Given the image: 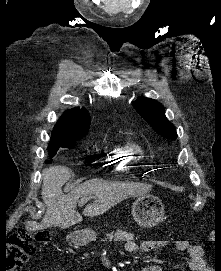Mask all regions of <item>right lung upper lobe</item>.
Listing matches in <instances>:
<instances>
[{
  "instance_id": "obj_1",
  "label": "right lung upper lobe",
  "mask_w": 221,
  "mask_h": 271,
  "mask_svg": "<svg viewBox=\"0 0 221 271\" xmlns=\"http://www.w3.org/2000/svg\"><path fill=\"white\" fill-rule=\"evenodd\" d=\"M90 127V116L82 108L66 111L56 123L51 138L53 139H78L83 138Z\"/></svg>"
}]
</instances>
